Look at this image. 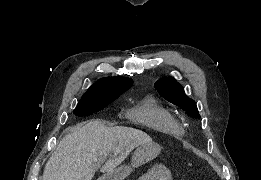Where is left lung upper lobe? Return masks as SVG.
Masks as SVG:
<instances>
[{"mask_svg":"<svg viewBox=\"0 0 261 180\" xmlns=\"http://www.w3.org/2000/svg\"><path fill=\"white\" fill-rule=\"evenodd\" d=\"M159 94L171 103L180 106L192 116L200 117L193 99L187 97L183 87L172 77L162 78L155 83Z\"/></svg>","mask_w":261,"mask_h":180,"instance_id":"obj_1","label":"left lung upper lobe"}]
</instances>
